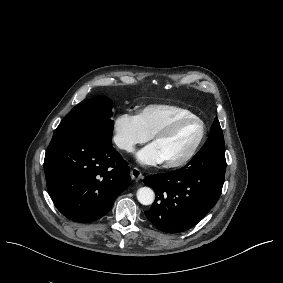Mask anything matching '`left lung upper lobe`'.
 I'll return each instance as SVG.
<instances>
[{
    "label": "left lung upper lobe",
    "mask_w": 283,
    "mask_h": 283,
    "mask_svg": "<svg viewBox=\"0 0 283 283\" xmlns=\"http://www.w3.org/2000/svg\"><path fill=\"white\" fill-rule=\"evenodd\" d=\"M213 145H216L219 148L225 149L222 129L220 127V123L217 118H215L212 124L209 138L204 144V146H213Z\"/></svg>",
    "instance_id": "1"
}]
</instances>
